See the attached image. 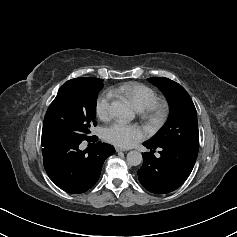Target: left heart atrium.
I'll list each match as a JSON object with an SVG mask.
<instances>
[{
	"label": "left heart atrium",
	"mask_w": 237,
	"mask_h": 237,
	"mask_svg": "<svg viewBox=\"0 0 237 237\" xmlns=\"http://www.w3.org/2000/svg\"><path fill=\"white\" fill-rule=\"evenodd\" d=\"M144 137L143 129L122 121H117L104 130L105 140L121 148L131 147Z\"/></svg>",
	"instance_id": "left-heart-atrium-1"
}]
</instances>
